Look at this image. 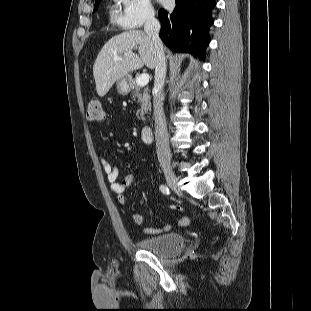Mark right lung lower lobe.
<instances>
[{"instance_id": "obj_1", "label": "right lung lower lobe", "mask_w": 311, "mask_h": 311, "mask_svg": "<svg viewBox=\"0 0 311 311\" xmlns=\"http://www.w3.org/2000/svg\"><path fill=\"white\" fill-rule=\"evenodd\" d=\"M173 11L160 9V38L175 52H189L202 57L210 39L208 31L214 20L215 0H176Z\"/></svg>"}]
</instances>
